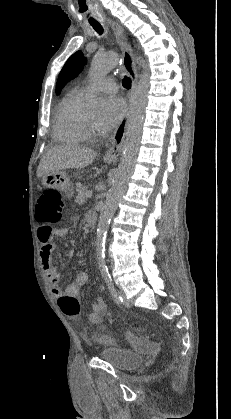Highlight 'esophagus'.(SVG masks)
<instances>
[{
	"mask_svg": "<svg viewBox=\"0 0 231 419\" xmlns=\"http://www.w3.org/2000/svg\"><path fill=\"white\" fill-rule=\"evenodd\" d=\"M108 22L113 28V30L115 31L117 41L122 51L124 68L128 72L131 78V82H132L131 90L128 96V112L126 116L121 120L116 130L114 131L110 139L109 148L104 154L105 160L113 161V160H116L120 156L123 150V144H124V139L126 135L128 115H129V109H130V102H131L134 90L136 88V85H137L138 72H137V67L135 63L134 51L127 40L123 27L112 20H108Z\"/></svg>",
	"mask_w": 231,
	"mask_h": 419,
	"instance_id": "esophagus-1",
	"label": "esophagus"
}]
</instances>
